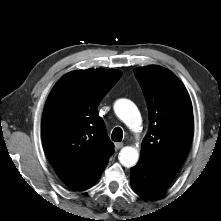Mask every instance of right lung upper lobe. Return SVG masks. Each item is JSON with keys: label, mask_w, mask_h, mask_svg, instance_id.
I'll use <instances>...</instances> for the list:
<instances>
[{"label": "right lung upper lobe", "mask_w": 221, "mask_h": 221, "mask_svg": "<svg viewBox=\"0 0 221 221\" xmlns=\"http://www.w3.org/2000/svg\"><path fill=\"white\" fill-rule=\"evenodd\" d=\"M121 75L103 69L70 72L48 96L42 116L44 150L58 177L73 189L91 187L114 152L97 107Z\"/></svg>", "instance_id": "cb5924a9"}]
</instances>
